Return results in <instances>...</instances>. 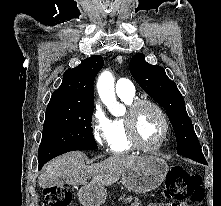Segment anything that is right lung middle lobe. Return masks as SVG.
Wrapping results in <instances>:
<instances>
[{
	"label": "right lung middle lobe",
	"instance_id": "dd1d6c3e",
	"mask_svg": "<svg viewBox=\"0 0 221 206\" xmlns=\"http://www.w3.org/2000/svg\"><path fill=\"white\" fill-rule=\"evenodd\" d=\"M93 110H46L38 161H49L69 151L97 149L91 128Z\"/></svg>",
	"mask_w": 221,
	"mask_h": 206
}]
</instances>
